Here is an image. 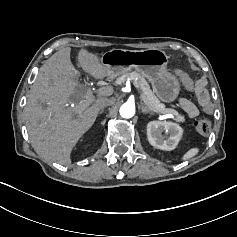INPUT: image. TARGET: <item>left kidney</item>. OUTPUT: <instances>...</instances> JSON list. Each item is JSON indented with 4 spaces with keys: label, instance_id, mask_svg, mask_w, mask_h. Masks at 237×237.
Segmentation results:
<instances>
[{
    "label": "left kidney",
    "instance_id": "left-kidney-1",
    "mask_svg": "<svg viewBox=\"0 0 237 237\" xmlns=\"http://www.w3.org/2000/svg\"><path fill=\"white\" fill-rule=\"evenodd\" d=\"M169 134L165 138L162 133ZM183 134V129L179 124L167 121H151L147 124V137L149 143L161 150L171 151L174 150Z\"/></svg>",
    "mask_w": 237,
    "mask_h": 237
}]
</instances>
